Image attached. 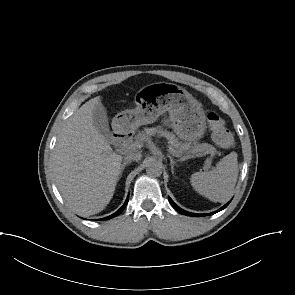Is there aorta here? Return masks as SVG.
I'll use <instances>...</instances> for the list:
<instances>
[{"label":"aorta","instance_id":"1","mask_svg":"<svg viewBox=\"0 0 295 295\" xmlns=\"http://www.w3.org/2000/svg\"><path fill=\"white\" fill-rule=\"evenodd\" d=\"M146 172L150 176H160L162 173V163L155 159L149 160L146 165Z\"/></svg>","mask_w":295,"mask_h":295}]
</instances>
